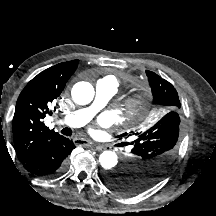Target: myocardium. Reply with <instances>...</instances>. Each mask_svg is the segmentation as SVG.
Instances as JSON below:
<instances>
[{
  "label": "myocardium",
  "instance_id": "f54148a6",
  "mask_svg": "<svg viewBox=\"0 0 216 216\" xmlns=\"http://www.w3.org/2000/svg\"><path fill=\"white\" fill-rule=\"evenodd\" d=\"M146 95L143 92H137L130 96L125 103L126 118H139L143 115L146 109Z\"/></svg>",
  "mask_w": 216,
  "mask_h": 216
}]
</instances>
